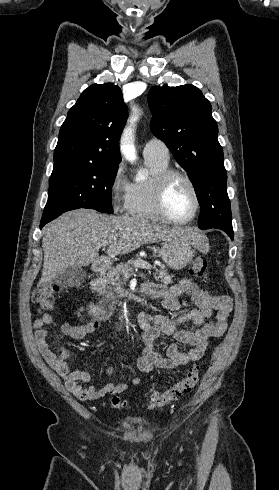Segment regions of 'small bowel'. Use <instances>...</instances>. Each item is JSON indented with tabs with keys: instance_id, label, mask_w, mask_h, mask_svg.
I'll use <instances>...</instances> for the list:
<instances>
[{
	"instance_id": "small-bowel-1",
	"label": "small bowel",
	"mask_w": 279,
	"mask_h": 490,
	"mask_svg": "<svg viewBox=\"0 0 279 490\" xmlns=\"http://www.w3.org/2000/svg\"><path fill=\"white\" fill-rule=\"evenodd\" d=\"M143 291L149 297L159 300L162 306L169 311L178 314L171 317L166 314H153L142 312L137 317V323L141 329V337L144 343L142 356L138 361L139 368L149 372L155 368H174L185 365L191 361L200 359L213 338L222 337L229 325V315L232 311V300L228 296L213 295L209 291L200 288L189 279H181L177 284L166 287L158 284H147ZM187 295L195 305L194 309L182 310L181 297ZM215 314L212 322H207ZM192 322L193 329H183L179 326L185 322ZM54 318L50 314H44L33 322L35 330V342L45 361L63 379L66 389L81 400H98L107 394H120L128 385L125 383H108L103 388L97 389L92 382V376L86 369L70 371L67 360L72 357L71 349L65 346L53 349L46 326L52 325ZM100 327L98 319L89 320L83 324L63 323L61 332L74 339L83 340L95 333ZM161 334H173L177 342L191 347L188 352H182L177 344H171L166 355L159 354L155 342ZM121 361L126 362L124 357ZM111 366L106 373L112 375ZM80 383H87L84 387ZM140 383L139 378L131 380V384Z\"/></svg>"
}]
</instances>
